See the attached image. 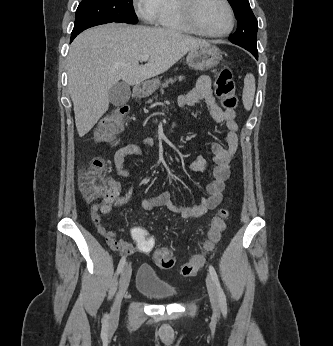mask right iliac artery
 I'll use <instances>...</instances> for the list:
<instances>
[{
  "label": "right iliac artery",
  "mask_w": 333,
  "mask_h": 346,
  "mask_svg": "<svg viewBox=\"0 0 333 346\" xmlns=\"http://www.w3.org/2000/svg\"><path fill=\"white\" fill-rule=\"evenodd\" d=\"M126 263V256H123L118 264V268H117V273L120 274L124 268V265ZM102 326H103V329L106 330L107 327H108V315L105 314L104 315V318L102 320Z\"/></svg>",
  "instance_id": "obj_1"
}]
</instances>
